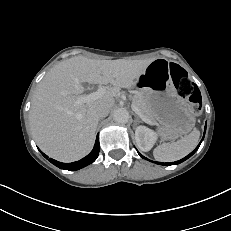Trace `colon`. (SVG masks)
<instances>
[{
  "label": "colon",
  "mask_w": 231,
  "mask_h": 231,
  "mask_svg": "<svg viewBox=\"0 0 231 231\" xmlns=\"http://www.w3.org/2000/svg\"><path fill=\"white\" fill-rule=\"evenodd\" d=\"M169 70L182 97H188L195 112L200 111V96L195 85L188 78L187 72L177 64H169Z\"/></svg>",
  "instance_id": "obj_1"
}]
</instances>
